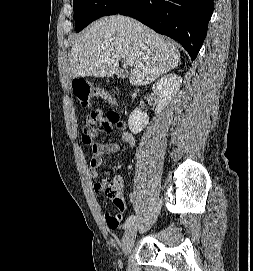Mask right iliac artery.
<instances>
[{
    "instance_id": "right-iliac-artery-1",
    "label": "right iliac artery",
    "mask_w": 253,
    "mask_h": 271,
    "mask_svg": "<svg viewBox=\"0 0 253 271\" xmlns=\"http://www.w3.org/2000/svg\"><path fill=\"white\" fill-rule=\"evenodd\" d=\"M134 220H135V216H134V215H131V216H130L129 218H127V220L125 221L123 228H124V229H127L131 224H133Z\"/></svg>"
}]
</instances>
